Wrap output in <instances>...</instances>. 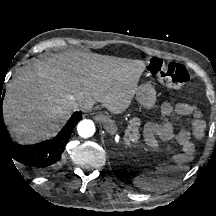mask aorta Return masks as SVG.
I'll return each instance as SVG.
<instances>
[{"mask_svg":"<svg viewBox=\"0 0 216 216\" xmlns=\"http://www.w3.org/2000/svg\"><path fill=\"white\" fill-rule=\"evenodd\" d=\"M113 124V121H110ZM79 136L82 138L91 137L95 132L94 123L91 120H83L77 126Z\"/></svg>","mask_w":216,"mask_h":216,"instance_id":"obj_1","label":"aorta"}]
</instances>
